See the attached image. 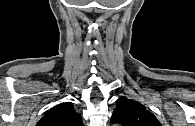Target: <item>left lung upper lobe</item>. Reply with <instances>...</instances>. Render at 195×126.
<instances>
[{
    "instance_id": "left-lung-upper-lobe-1",
    "label": "left lung upper lobe",
    "mask_w": 195,
    "mask_h": 126,
    "mask_svg": "<svg viewBox=\"0 0 195 126\" xmlns=\"http://www.w3.org/2000/svg\"><path fill=\"white\" fill-rule=\"evenodd\" d=\"M111 123L122 126H161L157 118L138 101L121 97L111 117Z\"/></svg>"
}]
</instances>
